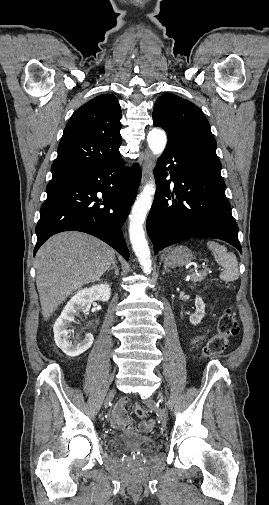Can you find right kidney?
Returning a JSON list of instances; mask_svg holds the SVG:
<instances>
[{"label": "right kidney", "mask_w": 269, "mask_h": 505, "mask_svg": "<svg viewBox=\"0 0 269 505\" xmlns=\"http://www.w3.org/2000/svg\"><path fill=\"white\" fill-rule=\"evenodd\" d=\"M111 295L109 284H97L90 288H84L78 291L66 304L61 315L56 320L53 331L56 345L70 357H76L84 353L91 347L94 337L88 333L83 340H75L73 343L69 340L71 330L68 327L75 321V316L80 312L87 314L93 301L101 300L106 302Z\"/></svg>", "instance_id": "1"}]
</instances>
